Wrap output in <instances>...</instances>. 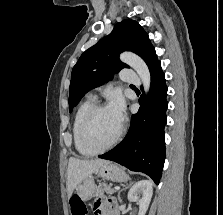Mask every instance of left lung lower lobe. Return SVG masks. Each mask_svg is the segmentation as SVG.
<instances>
[{
    "mask_svg": "<svg viewBox=\"0 0 223 215\" xmlns=\"http://www.w3.org/2000/svg\"><path fill=\"white\" fill-rule=\"evenodd\" d=\"M151 88L147 100L132 115L129 131L123 141L99 158L115 161L132 171L149 175L159 184L165 161L164 126L167 122V86L158 61L150 70Z\"/></svg>",
    "mask_w": 223,
    "mask_h": 215,
    "instance_id": "obj_1",
    "label": "left lung lower lobe"
}]
</instances>
